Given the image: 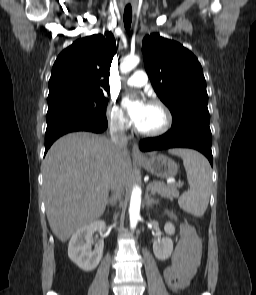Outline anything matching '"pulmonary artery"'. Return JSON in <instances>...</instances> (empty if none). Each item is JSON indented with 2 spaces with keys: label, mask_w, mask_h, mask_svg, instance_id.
I'll use <instances>...</instances> for the list:
<instances>
[{
  "label": "pulmonary artery",
  "mask_w": 256,
  "mask_h": 295,
  "mask_svg": "<svg viewBox=\"0 0 256 295\" xmlns=\"http://www.w3.org/2000/svg\"><path fill=\"white\" fill-rule=\"evenodd\" d=\"M148 82V77L145 71L136 70L134 73L127 79L126 84L131 87H142Z\"/></svg>",
  "instance_id": "obj_1"
}]
</instances>
